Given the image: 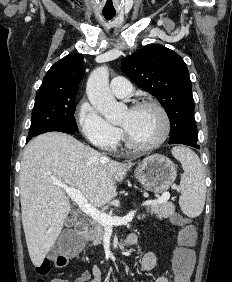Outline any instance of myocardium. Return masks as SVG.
<instances>
[{"label":"myocardium","instance_id":"obj_1","mask_svg":"<svg viewBox=\"0 0 232 282\" xmlns=\"http://www.w3.org/2000/svg\"><path fill=\"white\" fill-rule=\"evenodd\" d=\"M143 107H151L159 112V114L161 115L163 119V131L157 140L151 143H148V144H139V143L134 142L128 135L127 131L123 127H121L122 137H123V140L126 146L136 151H148V150H153L161 146L167 140L170 134V131H171L170 117L167 111L165 110V108L161 104H159L157 101L146 99V100H141V101L136 102L130 108V110H136V109L143 108Z\"/></svg>","mask_w":232,"mask_h":282}]
</instances>
